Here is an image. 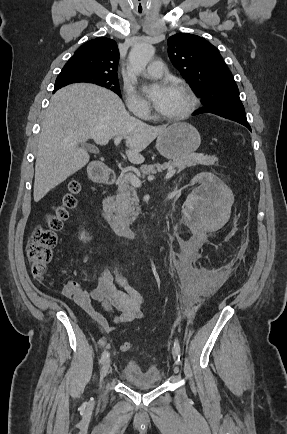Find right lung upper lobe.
Instances as JSON below:
<instances>
[{
  "mask_svg": "<svg viewBox=\"0 0 287 434\" xmlns=\"http://www.w3.org/2000/svg\"><path fill=\"white\" fill-rule=\"evenodd\" d=\"M118 61L117 43L106 37H98L78 48L63 68L117 77ZM60 88V86H55L53 92Z\"/></svg>",
  "mask_w": 287,
  "mask_h": 434,
  "instance_id": "1",
  "label": "right lung upper lobe"
}]
</instances>
